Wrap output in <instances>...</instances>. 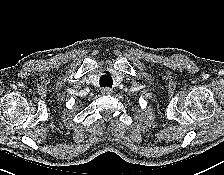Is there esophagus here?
<instances>
[{
  "mask_svg": "<svg viewBox=\"0 0 224 175\" xmlns=\"http://www.w3.org/2000/svg\"><path fill=\"white\" fill-rule=\"evenodd\" d=\"M112 92H113V90L111 88H108V87L102 88V90H101V93L103 95H108V94H111Z\"/></svg>",
  "mask_w": 224,
  "mask_h": 175,
  "instance_id": "1",
  "label": "esophagus"
}]
</instances>
